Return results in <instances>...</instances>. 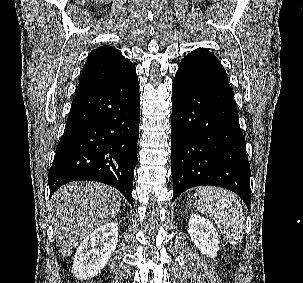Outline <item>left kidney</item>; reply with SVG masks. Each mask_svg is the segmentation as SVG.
<instances>
[{
	"label": "left kidney",
	"instance_id": "left-kidney-1",
	"mask_svg": "<svg viewBox=\"0 0 303 283\" xmlns=\"http://www.w3.org/2000/svg\"><path fill=\"white\" fill-rule=\"evenodd\" d=\"M188 225L190 237L201 253L214 258L219 250L218 233L214 225L197 214L190 216Z\"/></svg>",
	"mask_w": 303,
	"mask_h": 283
}]
</instances>
